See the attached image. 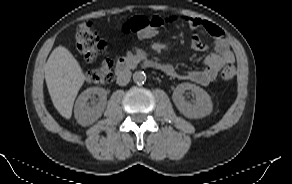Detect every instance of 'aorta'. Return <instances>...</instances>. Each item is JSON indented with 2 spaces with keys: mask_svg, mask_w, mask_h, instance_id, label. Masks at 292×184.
Masks as SVG:
<instances>
[{
  "mask_svg": "<svg viewBox=\"0 0 292 184\" xmlns=\"http://www.w3.org/2000/svg\"><path fill=\"white\" fill-rule=\"evenodd\" d=\"M133 81L136 84H143L146 81V74L143 71L134 72Z\"/></svg>",
  "mask_w": 292,
  "mask_h": 184,
  "instance_id": "762f6f07",
  "label": "aorta"
}]
</instances>
